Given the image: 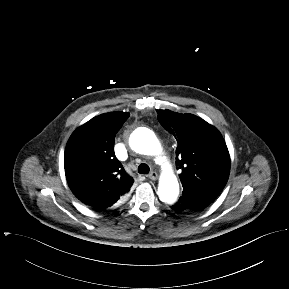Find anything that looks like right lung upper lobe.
Masks as SVG:
<instances>
[{
  "label": "right lung upper lobe",
  "mask_w": 289,
  "mask_h": 289,
  "mask_svg": "<svg viewBox=\"0 0 289 289\" xmlns=\"http://www.w3.org/2000/svg\"><path fill=\"white\" fill-rule=\"evenodd\" d=\"M129 115H99L77 128L68 140L64 166L69 187L95 209L119 203L133 184L114 153L115 135Z\"/></svg>",
  "instance_id": "obj_1"
}]
</instances>
